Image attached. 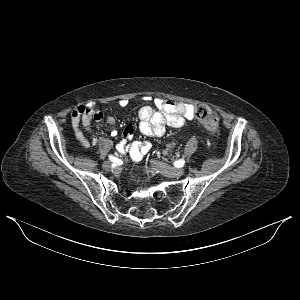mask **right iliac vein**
Instances as JSON below:
<instances>
[{
  "label": "right iliac vein",
  "mask_w": 300,
  "mask_h": 300,
  "mask_svg": "<svg viewBox=\"0 0 300 300\" xmlns=\"http://www.w3.org/2000/svg\"><path fill=\"white\" fill-rule=\"evenodd\" d=\"M103 168H104L105 170H110V169L112 168L111 163H110L109 161H105V162L103 163Z\"/></svg>",
  "instance_id": "right-iliac-vein-1"
}]
</instances>
